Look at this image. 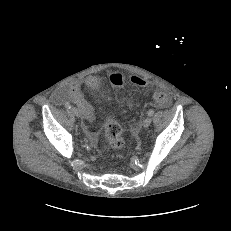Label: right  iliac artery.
I'll list each match as a JSON object with an SVG mask.
<instances>
[{"instance_id": "right-iliac-artery-1", "label": "right iliac artery", "mask_w": 231, "mask_h": 231, "mask_svg": "<svg viewBox=\"0 0 231 231\" xmlns=\"http://www.w3.org/2000/svg\"><path fill=\"white\" fill-rule=\"evenodd\" d=\"M65 108L70 109V108H71V105H70L69 103H66V104H65Z\"/></svg>"}]
</instances>
